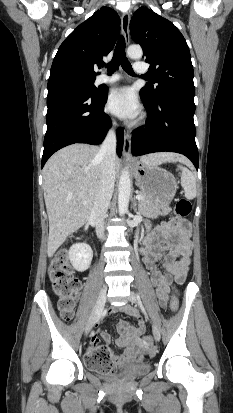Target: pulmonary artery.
<instances>
[{
	"label": "pulmonary artery",
	"instance_id": "obj_1",
	"mask_svg": "<svg viewBox=\"0 0 233 413\" xmlns=\"http://www.w3.org/2000/svg\"><path fill=\"white\" fill-rule=\"evenodd\" d=\"M134 71L138 74H142L146 71V68L142 63H135ZM121 80V75L114 73L112 75L102 74L96 79V84H109L115 83Z\"/></svg>",
	"mask_w": 233,
	"mask_h": 413
}]
</instances>
